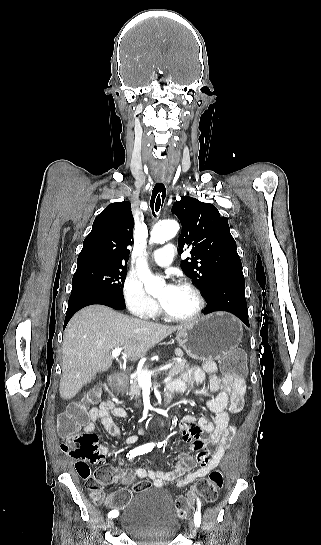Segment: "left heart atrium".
Returning <instances> with one entry per match:
<instances>
[{"label": "left heart atrium", "instance_id": "1", "mask_svg": "<svg viewBox=\"0 0 321 545\" xmlns=\"http://www.w3.org/2000/svg\"><path fill=\"white\" fill-rule=\"evenodd\" d=\"M175 289H176V286H175V285L169 284V285L167 286V293H168V296H170V295L175 291Z\"/></svg>", "mask_w": 321, "mask_h": 545}]
</instances>
